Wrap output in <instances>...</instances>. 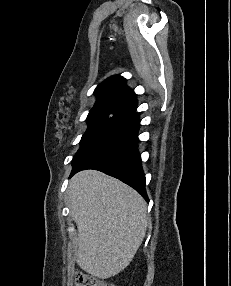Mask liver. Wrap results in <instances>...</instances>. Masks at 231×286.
I'll use <instances>...</instances> for the list:
<instances>
[{
  "mask_svg": "<svg viewBox=\"0 0 231 286\" xmlns=\"http://www.w3.org/2000/svg\"><path fill=\"white\" fill-rule=\"evenodd\" d=\"M70 214L78 229V264L108 279L123 271L147 229L146 203L131 187L96 170L73 176L68 187Z\"/></svg>",
  "mask_w": 231,
  "mask_h": 286,
  "instance_id": "obj_1",
  "label": "liver"
}]
</instances>
